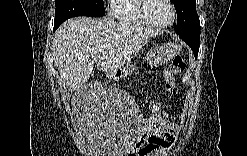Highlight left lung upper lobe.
<instances>
[{
    "label": "left lung upper lobe",
    "mask_w": 247,
    "mask_h": 156,
    "mask_svg": "<svg viewBox=\"0 0 247 156\" xmlns=\"http://www.w3.org/2000/svg\"><path fill=\"white\" fill-rule=\"evenodd\" d=\"M177 12V34H183L194 27L200 26L196 12V0H172Z\"/></svg>",
    "instance_id": "1"
}]
</instances>
